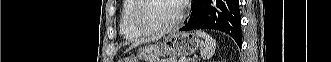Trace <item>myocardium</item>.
<instances>
[{
    "label": "myocardium",
    "mask_w": 331,
    "mask_h": 62,
    "mask_svg": "<svg viewBox=\"0 0 331 62\" xmlns=\"http://www.w3.org/2000/svg\"><path fill=\"white\" fill-rule=\"evenodd\" d=\"M146 1L147 0H136V4L132 12L133 26L137 31H139L143 35H157V34H164L170 32L178 28L181 22L183 21L186 11V4L184 0H176L179 4V13L175 21L163 27H150L146 25L140 18V11L143 8Z\"/></svg>",
    "instance_id": "myocardium-1"
}]
</instances>
